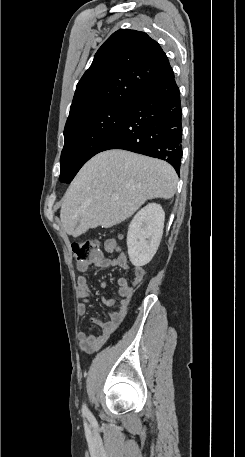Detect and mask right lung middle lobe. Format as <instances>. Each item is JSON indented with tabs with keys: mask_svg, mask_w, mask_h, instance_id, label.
<instances>
[{
	"mask_svg": "<svg viewBox=\"0 0 245 457\" xmlns=\"http://www.w3.org/2000/svg\"><path fill=\"white\" fill-rule=\"evenodd\" d=\"M132 102L114 101L96 110L67 120L64 129L65 144L61 153L60 182L70 183L79 169L115 133Z\"/></svg>",
	"mask_w": 245,
	"mask_h": 457,
	"instance_id": "right-lung-middle-lobe-1",
	"label": "right lung middle lobe"
}]
</instances>
